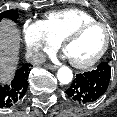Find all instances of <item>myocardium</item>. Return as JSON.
<instances>
[{
	"label": "myocardium",
	"mask_w": 117,
	"mask_h": 117,
	"mask_svg": "<svg viewBox=\"0 0 117 117\" xmlns=\"http://www.w3.org/2000/svg\"><path fill=\"white\" fill-rule=\"evenodd\" d=\"M94 26H99L105 30V33H106L105 43H104L102 49L93 58H91L90 60H88L86 62H77V61H73L70 59L71 64L76 68H79V69L90 68L91 66L95 65L98 61H100L102 59V57L106 54L107 50L109 49V46L112 41L111 30L106 24H104L102 22L92 21V22H87V23H83V24L79 25L78 27L73 29L71 32H69L62 39V48L65 52L66 47L70 42H72L73 40L78 38L85 30H87L91 27H94Z\"/></svg>",
	"instance_id": "1"
}]
</instances>
